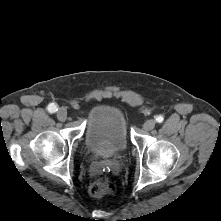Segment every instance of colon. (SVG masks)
Returning <instances> with one entry per match:
<instances>
[{"label":"colon","mask_w":221,"mask_h":221,"mask_svg":"<svg viewBox=\"0 0 221 221\" xmlns=\"http://www.w3.org/2000/svg\"><path fill=\"white\" fill-rule=\"evenodd\" d=\"M115 191V185L108 179L99 178L89 186V193L94 197H102L112 194Z\"/></svg>","instance_id":"obj_1"}]
</instances>
